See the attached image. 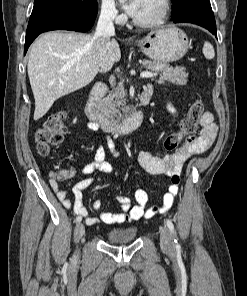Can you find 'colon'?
<instances>
[{
  "mask_svg": "<svg viewBox=\"0 0 247 296\" xmlns=\"http://www.w3.org/2000/svg\"><path fill=\"white\" fill-rule=\"evenodd\" d=\"M203 113L204 105L202 101L195 100L181 120L179 129L166 137L164 149L169 152L176 150L184 137L195 132ZM67 129L68 125L64 113L59 112L50 116L35 134L36 148L39 155L47 156L53 148L59 146ZM63 177H65L63 172L56 171L53 175V181L55 182ZM172 181L178 185L179 176H174Z\"/></svg>",
  "mask_w": 247,
  "mask_h": 296,
  "instance_id": "obj_1",
  "label": "colon"
}]
</instances>
